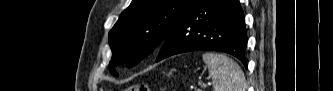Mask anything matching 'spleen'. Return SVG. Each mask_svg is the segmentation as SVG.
<instances>
[{
	"instance_id": "spleen-1",
	"label": "spleen",
	"mask_w": 333,
	"mask_h": 91,
	"mask_svg": "<svg viewBox=\"0 0 333 91\" xmlns=\"http://www.w3.org/2000/svg\"><path fill=\"white\" fill-rule=\"evenodd\" d=\"M214 91H246V80L240 66L224 54L204 53Z\"/></svg>"
}]
</instances>
